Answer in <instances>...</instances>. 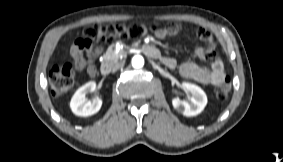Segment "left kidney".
Masks as SVG:
<instances>
[{"mask_svg":"<svg viewBox=\"0 0 283 162\" xmlns=\"http://www.w3.org/2000/svg\"><path fill=\"white\" fill-rule=\"evenodd\" d=\"M183 90L188 91L191 96L188 99L180 100L178 97L172 99L173 107L184 116H196L200 114L207 105V96L205 92L197 85L183 82Z\"/></svg>","mask_w":283,"mask_h":162,"instance_id":"5707ae66","label":"left kidney"}]
</instances>
